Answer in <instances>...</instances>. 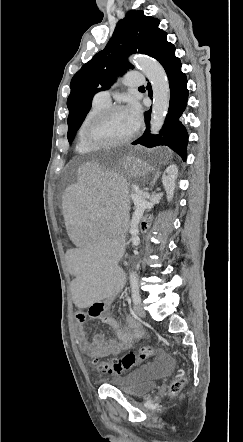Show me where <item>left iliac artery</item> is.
<instances>
[{"label":"left iliac artery","mask_w":243,"mask_h":442,"mask_svg":"<svg viewBox=\"0 0 243 442\" xmlns=\"http://www.w3.org/2000/svg\"><path fill=\"white\" fill-rule=\"evenodd\" d=\"M131 276H134V273H132ZM131 291H132V299H133V302H134L135 304L140 303L141 298H140V295H139V288H138V285H137V283L135 282V280H133V281L131 282Z\"/></svg>","instance_id":"44dca946"}]
</instances>
